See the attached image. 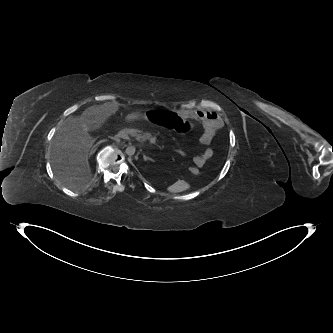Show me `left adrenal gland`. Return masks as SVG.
<instances>
[{"instance_id": "left-adrenal-gland-1", "label": "left adrenal gland", "mask_w": 333, "mask_h": 333, "mask_svg": "<svg viewBox=\"0 0 333 333\" xmlns=\"http://www.w3.org/2000/svg\"><path fill=\"white\" fill-rule=\"evenodd\" d=\"M143 159L144 161H153V159L147 157L146 155H143Z\"/></svg>"}]
</instances>
